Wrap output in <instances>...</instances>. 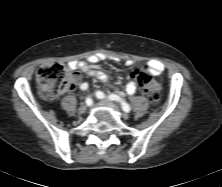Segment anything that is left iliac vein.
<instances>
[{
    "label": "left iliac vein",
    "instance_id": "obj_1",
    "mask_svg": "<svg viewBox=\"0 0 222 187\" xmlns=\"http://www.w3.org/2000/svg\"><path fill=\"white\" fill-rule=\"evenodd\" d=\"M103 103H105V104H107V105H109V106H111V107H113V108H115V109L118 108V106H117L114 102H112V101L103 100Z\"/></svg>",
    "mask_w": 222,
    "mask_h": 187
}]
</instances>
